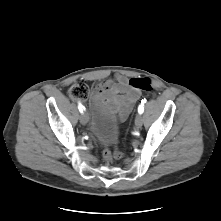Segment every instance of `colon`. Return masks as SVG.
<instances>
[{
	"label": "colon",
	"mask_w": 221,
	"mask_h": 221,
	"mask_svg": "<svg viewBox=\"0 0 221 221\" xmlns=\"http://www.w3.org/2000/svg\"><path fill=\"white\" fill-rule=\"evenodd\" d=\"M129 85L140 91H151L152 81L147 77L132 78L129 81ZM69 96L74 100L86 101L89 96V88L83 81L76 82L69 89ZM103 158L106 162H111L113 159H120L124 156V153L120 151L117 147L111 150L105 147L102 152Z\"/></svg>",
	"instance_id": "colon-1"
}]
</instances>
